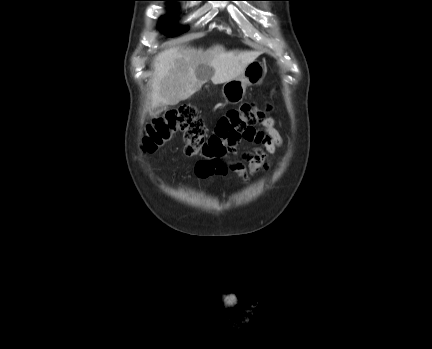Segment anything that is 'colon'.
<instances>
[{"mask_svg": "<svg viewBox=\"0 0 432 349\" xmlns=\"http://www.w3.org/2000/svg\"><path fill=\"white\" fill-rule=\"evenodd\" d=\"M266 118V111L253 103H244L228 110L206 136L204 120L191 106H181L167 111L147 125L143 137L145 152H155L176 135H181L184 151L189 156H201V162L218 170L224 169L227 157L242 139L252 135L254 125Z\"/></svg>", "mask_w": 432, "mask_h": 349, "instance_id": "1", "label": "colon"}]
</instances>
